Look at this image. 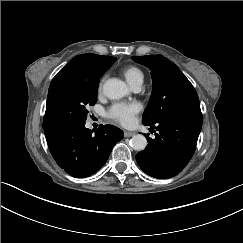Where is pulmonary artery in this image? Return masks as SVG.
Segmentation results:
<instances>
[{"label":"pulmonary artery","instance_id":"e3ab8cb5","mask_svg":"<svg viewBox=\"0 0 243 243\" xmlns=\"http://www.w3.org/2000/svg\"><path fill=\"white\" fill-rule=\"evenodd\" d=\"M134 91H139L140 90V86H134L132 87Z\"/></svg>","mask_w":243,"mask_h":243}]
</instances>
